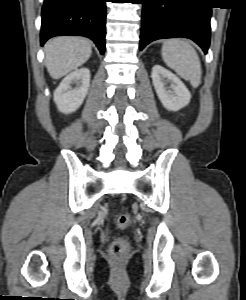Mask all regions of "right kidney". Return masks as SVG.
I'll return each instance as SVG.
<instances>
[{
	"mask_svg": "<svg viewBox=\"0 0 246 300\" xmlns=\"http://www.w3.org/2000/svg\"><path fill=\"white\" fill-rule=\"evenodd\" d=\"M90 76L89 69L81 68L62 80L54 92V102L60 112L69 114L81 106L88 93Z\"/></svg>",
	"mask_w": 246,
	"mask_h": 300,
	"instance_id": "1",
	"label": "right kidney"
}]
</instances>
